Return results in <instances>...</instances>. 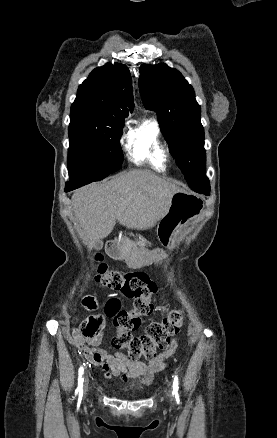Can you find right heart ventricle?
Masks as SVG:
<instances>
[{"mask_svg": "<svg viewBox=\"0 0 277 438\" xmlns=\"http://www.w3.org/2000/svg\"><path fill=\"white\" fill-rule=\"evenodd\" d=\"M126 148L132 162H148L159 171L166 169L167 149L160 139L159 127L155 121L145 120L132 128L126 138Z\"/></svg>", "mask_w": 277, "mask_h": 438, "instance_id": "right-heart-ventricle-1", "label": "right heart ventricle"}]
</instances>
